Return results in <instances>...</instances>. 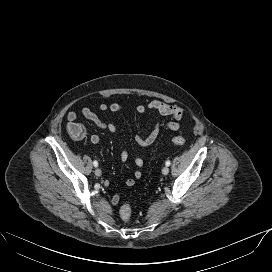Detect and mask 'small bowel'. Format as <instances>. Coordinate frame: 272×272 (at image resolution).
<instances>
[{"label":"small bowel","instance_id":"c3829d8e","mask_svg":"<svg viewBox=\"0 0 272 272\" xmlns=\"http://www.w3.org/2000/svg\"><path fill=\"white\" fill-rule=\"evenodd\" d=\"M124 106L120 103H101L99 104V110L103 113H119L124 110ZM147 110L154 112L158 115V120L154 123L151 131L149 134L145 137L143 136H135V142L141 149H145L148 146L152 145L160 131L162 129H167L171 131H177L180 128L179 120L182 119L184 116V109L177 106L165 103L163 101L159 100H153L149 102L147 105H137L135 107V111L139 114L145 113ZM81 114L84 118L91 121L93 124H95L100 129H106L110 131L111 133H117L118 129L114 122L110 118L102 119L100 118L95 112H93L88 107H83L81 109ZM78 115L74 111H70L67 113L66 118L69 122H74L77 119ZM169 119H174L175 121H170ZM90 141L92 144H98L100 142V137L96 134H93L90 137ZM129 154L127 150L123 149L120 153V161L121 163H125L128 160ZM136 170L134 171V178L139 179L142 176V167H143V159L141 157H136L135 160ZM134 178H128L125 181V184L128 187H132L135 184ZM120 198L116 194L112 197L111 202L113 205H116L119 202Z\"/></svg>","mask_w":272,"mask_h":272}]
</instances>
